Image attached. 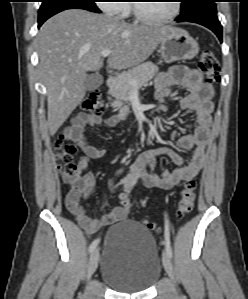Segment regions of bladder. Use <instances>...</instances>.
I'll return each instance as SVG.
<instances>
[{
  "instance_id": "1",
  "label": "bladder",
  "mask_w": 248,
  "mask_h": 299,
  "mask_svg": "<svg viewBox=\"0 0 248 299\" xmlns=\"http://www.w3.org/2000/svg\"><path fill=\"white\" fill-rule=\"evenodd\" d=\"M160 274L161 260L156 242L144 226L123 220L107 231L100 275L110 287L124 293L143 292Z\"/></svg>"
}]
</instances>
